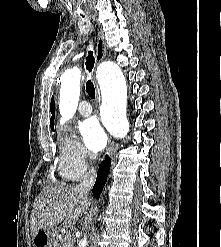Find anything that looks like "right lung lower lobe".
<instances>
[{
    "label": "right lung lower lobe",
    "mask_w": 221,
    "mask_h": 247,
    "mask_svg": "<svg viewBox=\"0 0 221 247\" xmlns=\"http://www.w3.org/2000/svg\"><path fill=\"white\" fill-rule=\"evenodd\" d=\"M110 165V159L108 156H106L105 160L102 161L99 166L96 182L92 190L94 197L97 199H99L100 193L102 192L104 184L107 181Z\"/></svg>",
    "instance_id": "98d812e1"
}]
</instances>
